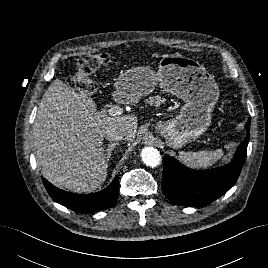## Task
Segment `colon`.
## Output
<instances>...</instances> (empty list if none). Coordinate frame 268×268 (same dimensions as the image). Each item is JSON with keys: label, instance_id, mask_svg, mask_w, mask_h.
<instances>
[{"label": "colon", "instance_id": "obj_1", "mask_svg": "<svg viewBox=\"0 0 268 268\" xmlns=\"http://www.w3.org/2000/svg\"><path fill=\"white\" fill-rule=\"evenodd\" d=\"M109 57L104 53L88 55L79 60L74 75L67 79V84L85 95L94 96L97 85L92 79V74L107 65Z\"/></svg>", "mask_w": 268, "mask_h": 268}]
</instances>
